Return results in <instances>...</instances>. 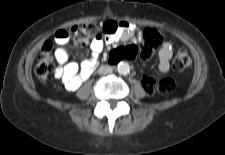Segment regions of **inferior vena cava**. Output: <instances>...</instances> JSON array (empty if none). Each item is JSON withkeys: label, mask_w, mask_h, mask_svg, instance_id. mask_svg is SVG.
<instances>
[{"label": "inferior vena cava", "mask_w": 225, "mask_h": 155, "mask_svg": "<svg viewBox=\"0 0 225 155\" xmlns=\"http://www.w3.org/2000/svg\"><path fill=\"white\" fill-rule=\"evenodd\" d=\"M112 67L111 66H108V65H104V66H101L99 69H98V72L100 74H108V73H111L112 72Z\"/></svg>", "instance_id": "inferior-vena-cava-1"}]
</instances>
